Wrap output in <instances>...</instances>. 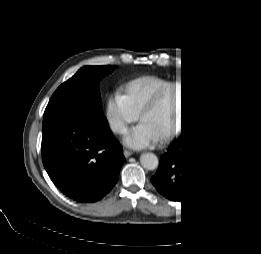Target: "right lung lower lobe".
Wrapping results in <instances>:
<instances>
[{"label": "right lung lower lobe", "instance_id": "right-lung-lower-lobe-1", "mask_svg": "<svg viewBox=\"0 0 261 254\" xmlns=\"http://www.w3.org/2000/svg\"><path fill=\"white\" fill-rule=\"evenodd\" d=\"M42 160L53 183L78 202H94L116 184L125 162L108 124L72 108L45 110Z\"/></svg>", "mask_w": 261, "mask_h": 254}]
</instances>
